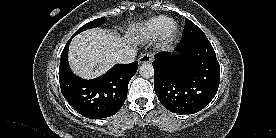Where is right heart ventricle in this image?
Returning <instances> with one entry per match:
<instances>
[{
  "mask_svg": "<svg viewBox=\"0 0 276 138\" xmlns=\"http://www.w3.org/2000/svg\"><path fill=\"white\" fill-rule=\"evenodd\" d=\"M168 20L169 18L164 15L154 17L139 25L134 32L140 39H152L161 33L163 26Z\"/></svg>",
  "mask_w": 276,
  "mask_h": 138,
  "instance_id": "obj_1",
  "label": "right heart ventricle"
}]
</instances>
